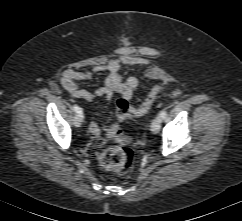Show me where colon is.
<instances>
[{"label": "colon", "mask_w": 242, "mask_h": 221, "mask_svg": "<svg viewBox=\"0 0 242 221\" xmlns=\"http://www.w3.org/2000/svg\"><path fill=\"white\" fill-rule=\"evenodd\" d=\"M160 87H154L145 101L138 107H134L125 99L117 101L115 106V116L118 121H123L132 117L146 114L155 103ZM108 135L116 144L103 149L98 155L101 168L111 174L125 175L132 166V151L127 147L130 138L125 135L117 123L112 124L108 129Z\"/></svg>", "instance_id": "1"}]
</instances>
